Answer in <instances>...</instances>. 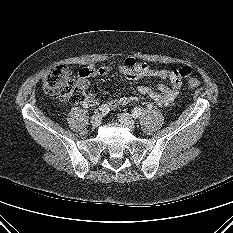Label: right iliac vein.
<instances>
[{"mask_svg":"<svg viewBox=\"0 0 233 233\" xmlns=\"http://www.w3.org/2000/svg\"><path fill=\"white\" fill-rule=\"evenodd\" d=\"M101 120H102V116L101 114L98 113L91 117L90 122H91V125L96 128L101 124Z\"/></svg>","mask_w":233,"mask_h":233,"instance_id":"obj_1","label":"right iliac vein"}]
</instances>
